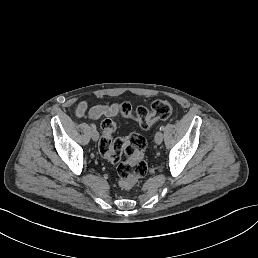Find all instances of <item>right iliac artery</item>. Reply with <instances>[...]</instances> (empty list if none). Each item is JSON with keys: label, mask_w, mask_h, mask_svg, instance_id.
I'll use <instances>...</instances> for the list:
<instances>
[{"label": "right iliac artery", "mask_w": 258, "mask_h": 258, "mask_svg": "<svg viewBox=\"0 0 258 258\" xmlns=\"http://www.w3.org/2000/svg\"><path fill=\"white\" fill-rule=\"evenodd\" d=\"M90 126H91V128L93 129V130H95L96 129V125L95 124H90Z\"/></svg>", "instance_id": "82829eb1"}]
</instances>
